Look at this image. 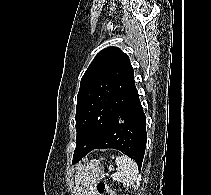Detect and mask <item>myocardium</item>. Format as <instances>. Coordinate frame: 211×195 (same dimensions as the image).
<instances>
[{
	"label": "myocardium",
	"instance_id": "obj_1",
	"mask_svg": "<svg viewBox=\"0 0 211 195\" xmlns=\"http://www.w3.org/2000/svg\"><path fill=\"white\" fill-rule=\"evenodd\" d=\"M93 131V129L92 128H89L88 130H87V133H91Z\"/></svg>",
	"mask_w": 211,
	"mask_h": 195
}]
</instances>
